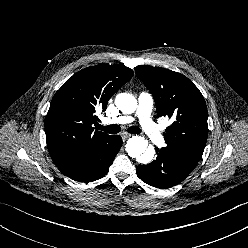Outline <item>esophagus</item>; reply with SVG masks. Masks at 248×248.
I'll list each match as a JSON object with an SVG mask.
<instances>
[{
	"mask_svg": "<svg viewBox=\"0 0 248 248\" xmlns=\"http://www.w3.org/2000/svg\"><path fill=\"white\" fill-rule=\"evenodd\" d=\"M131 136V134H129V133H122V138L124 139V140H126V139H128L129 137Z\"/></svg>",
	"mask_w": 248,
	"mask_h": 248,
	"instance_id": "obj_1",
	"label": "esophagus"
}]
</instances>
